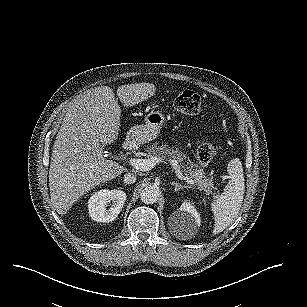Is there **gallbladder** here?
<instances>
[{
  "label": "gallbladder",
  "mask_w": 307,
  "mask_h": 307,
  "mask_svg": "<svg viewBox=\"0 0 307 307\" xmlns=\"http://www.w3.org/2000/svg\"><path fill=\"white\" fill-rule=\"evenodd\" d=\"M103 155L104 157H111L112 156V153L108 150V149H105L103 150Z\"/></svg>",
  "instance_id": "gallbladder-1"
}]
</instances>
